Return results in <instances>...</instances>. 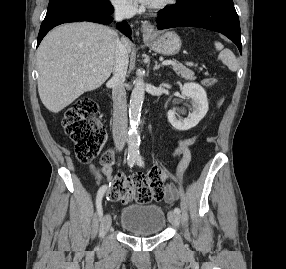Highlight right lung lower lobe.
Here are the masks:
<instances>
[{
	"mask_svg": "<svg viewBox=\"0 0 286 269\" xmlns=\"http://www.w3.org/2000/svg\"><path fill=\"white\" fill-rule=\"evenodd\" d=\"M112 13L113 8L110 10H99L91 6L77 5L46 14L38 34L37 46L48 31L57 25L76 21H89L107 25L113 20L110 16ZM117 28L130 37L131 31L125 21L118 23Z\"/></svg>",
	"mask_w": 286,
	"mask_h": 269,
	"instance_id": "right-lung-lower-lobe-1",
	"label": "right lung lower lobe"
}]
</instances>
